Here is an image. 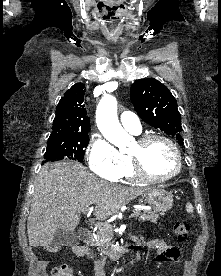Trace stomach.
<instances>
[{
    "label": "stomach",
    "instance_id": "stomach-1",
    "mask_svg": "<svg viewBox=\"0 0 221 276\" xmlns=\"http://www.w3.org/2000/svg\"><path fill=\"white\" fill-rule=\"evenodd\" d=\"M147 203L156 212H166L173 205V196L163 189H151L145 193Z\"/></svg>",
    "mask_w": 221,
    "mask_h": 276
}]
</instances>
